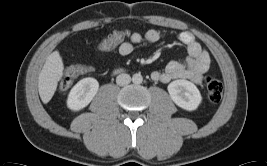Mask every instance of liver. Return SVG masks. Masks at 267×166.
I'll use <instances>...</instances> for the list:
<instances>
[{
    "label": "liver",
    "instance_id": "obj_1",
    "mask_svg": "<svg viewBox=\"0 0 267 166\" xmlns=\"http://www.w3.org/2000/svg\"><path fill=\"white\" fill-rule=\"evenodd\" d=\"M63 70L62 57L56 50L47 57L38 78V91L43 103L46 104L52 99L58 82L62 79Z\"/></svg>",
    "mask_w": 267,
    "mask_h": 166
}]
</instances>
